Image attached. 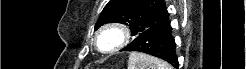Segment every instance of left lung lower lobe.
I'll return each instance as SVG.
<instances>
[{
	"mask_svg": "<svg viewBox=\"0 0 246 69\" xmlns=\"http://www.w3.org/2000/svg\"><path fill=\"white\" fill-rule=\"evenodd\" d=\"M171 33L172 27L170 26V20H168L147 29L121 51L144 52L166 60L174 67H178L175 51L176 44Z\"/></svg>",
	"mask_w": 246,
	"mask_h": 69,
	"instance_id": "0a47b994",
	"label": "left lung lower lobe"
}]
</instances>
